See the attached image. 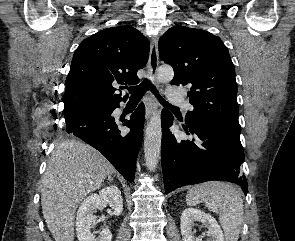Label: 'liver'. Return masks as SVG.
<instances>
[{
    "instance_id": "liver-1",
    "label": "liver",
    "mask_w": 295,
    "mask_h": 241,
    "mask_svg": "<svg viewBox=\"0 0 295 241\" xmlns=\"http://www.w3.org/2000/svg\"><path fill=\"white\" fill-rule=\"evenodd\" d=\"M114 172L102 154L79 140L56 144L41 181L42 213L55 241L74 240L78 205Z\"/></svg>"
}]
</instances>
